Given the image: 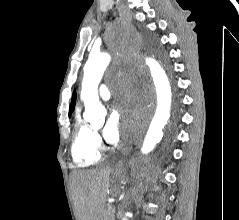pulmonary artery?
Returning a JSON list of instances; mask_svg holds the SVG:
<instances>
[{
	"instance_id": "e3ab8cb5",
	"label": "pulmonary artery",
	"mask_w": 239,
	"mask_h": 220,
	"mask_svg": "<svg viewBox=\"0 0 239 220\" xmlns=\"http://www.w3.org/2000/svg\"><path fill=\"white\" fill-rule=\"evenodd\" d=\"M99 96L101 97V99L107 101L111 98V92L108 88L107 85L105 84H102L100 87H99Z\"/></svg>"
}]
</instances>
